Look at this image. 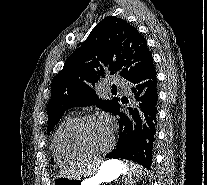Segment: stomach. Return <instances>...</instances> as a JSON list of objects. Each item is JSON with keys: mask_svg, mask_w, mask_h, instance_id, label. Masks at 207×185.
Wrapping results in <instances>:
<instances>
[{"mask_svg": "<svg viewBox=\"0 0 207 185\" xmlns=\"http://www.w3.org/2000/svg\"><path fill=\"white\" fill-rule=\"evenodd\" d=\"M125 172V163L117 160H108L102 163L98 172L84 180L74 179L67 176H59L54 179L52 185H102L116 180Z\"/></svg>", "mask_w": 207, "mask_h": 185, "instance_id": "1", "label": "stomach"}]
</instances>
